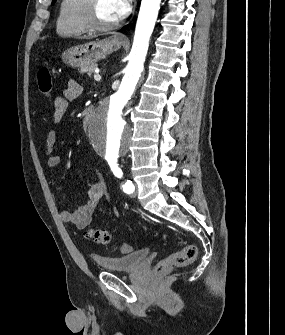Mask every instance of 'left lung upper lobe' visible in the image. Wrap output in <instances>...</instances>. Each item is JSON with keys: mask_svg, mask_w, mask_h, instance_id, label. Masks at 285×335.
Returning <instances> with one entry per match:
<instances>
[{"mask_svg": "<svg viewBox=\"0 0 285 335\" xmlns=\"http://www.w3.org/2000/svg\"><path fill=\"white\" fill-rule=\"evenodd\" d=\"M56 2V0H52V4H54Z\"/></svg>", "mask_w": 285, "mask_h": 335, "instance_id": "1", "label": "left lung upper lobe"}]
</instances>
